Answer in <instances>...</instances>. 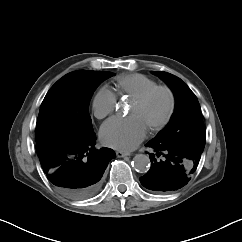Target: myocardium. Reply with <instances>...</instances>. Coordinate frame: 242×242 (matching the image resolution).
Masks as SVG:
<instances>
[{
	"instance_id": "obj_1",
	"label": "myocardium",
	"mask_w": 242,
	"mask_h": 242,
	"mask_svg": "<svg viewBox=\"0 0 242 242\" xmlns=\"http://www.w3.org/2000/svg\"><path fill=\"white\" fill-rule=\"evenodd\" d=\"M158 91H165L168 94L169 99H170V107H169V111H168L166 117L162 121L151 126L148 129V131L152 132V133L163 130L172 121V119L175 115V112H176V108H177V99H176V95H175L174 91L172 90V88H170L167 85H156L133 99V101L135 103L143 104L146 101H148L150 99V97Z\"/></svg>"
}]
</instances>
